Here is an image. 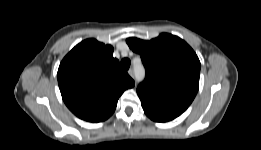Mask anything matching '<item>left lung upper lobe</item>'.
<instances>
[{
    "mask_svg": "<svg viewBox=\"0 0 261 150\" xmlns=\"http://www.w3.org/2000/svg\"><path fill=\"white\" fill-rule=\"evenodd\" d=\"M126 42L141 55L146 69L145 80L137 88L142 106L181 115L199 88L200 61L193 49L167 33L150 41L128 38Z\"/></svg>",
    "mask_w": 261,
    "mask_h": 150,
    "instance_id": "5c2ea615",
    "label": "left lung upper lobe"
}]
</instances>
